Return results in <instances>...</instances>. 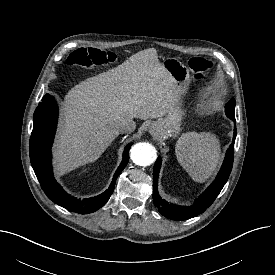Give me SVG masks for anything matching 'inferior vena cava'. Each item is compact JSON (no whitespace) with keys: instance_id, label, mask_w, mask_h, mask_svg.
<instances>
[{"instance_id":"1","label":"inferior vena cava","mask_w":275,"mask_h":275,"mask_svg":"<svg viewBox=\"0 0 275 275\" xmlns=\"http://www.w3.org/2000/svg\"><path fill=\"white\" fill-rule=\"evenodd\" d=\"M135 127V122L132 119H121L116 124V128L120 133H130L135 130Z\"/></svg>"}]
</instances>
